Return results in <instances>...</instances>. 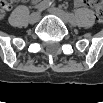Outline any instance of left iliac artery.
Segmentation results:
<instances>
[{"label":"left iliac artery","mask_w":103,"mask_h":103,"mask_svg":"<svg viewBox=\"0 0 103 103\" xmlns=\"http://www.w3.org/2000/svg\"><path fill=\"white\" fill-rule=\"evenodd\" d=\"M68 17L71 23H76V17L72 13H68Z\"/></svg>","instance_id":"44dca946"}]
</instances>
